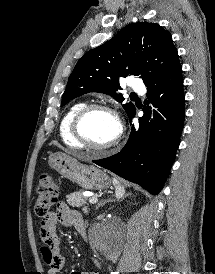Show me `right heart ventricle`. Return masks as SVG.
Segmentation results:
<instances>
[{"label":"right heart ventricle","instance_id":"right-heart-ventricle-1","mask_svg":"<svg viewBox=\"0 0 215 274\" xmlns=\"http://www.w3.org/2000/svg\"><path fill=\"white\" fill-rule=\"evenodd\" d=\"M86 105L85 102H77L71 105L66 113L63 115L60 125H59V134L60 138L65 145L71 148H82L83 146L77 142L73 137L71 131V124L76 113Z\"/></svg>","mask_w":215,"mask_h":274}]
</instances>
